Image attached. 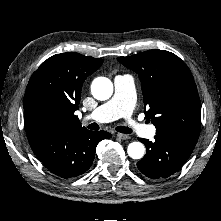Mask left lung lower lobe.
Instances as JSON below:
<instances>
[{"instance_id":"0a47b994","label":"left lung lower lobe","mask_w":221,"mask_h":221,"mask_svg":"<svg viewBox=\"0 0 221 221\" xmlns=\"http://www.w3.org/2000/svg\"><path fill=\"white\" fill-rule=\"evenodd\" d=\"M146 155L138 169L152 179L166 178L177 172L191 155L197 140L176 133H156L155 141L139 138Z\"/></svg>"}]
</instances>
